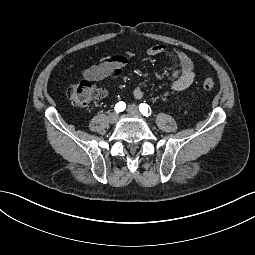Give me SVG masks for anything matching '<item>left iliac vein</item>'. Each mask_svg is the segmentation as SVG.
Masks as SVG:
<instances>
[{
	"instance_id": "obj_1",
	"label": "left iliac vein",
	"mask_w": 255,
	"mask_h": 255,
	"mask_svg": "<svg viewBox=\"0 0 255 255\" xmlns=\"http://www.w3.org/2000/svg\"><path fill=\"white\" fill-rule=\"evenodd\" d=\"M127 112L134 115H139V110L136 105L132 104L127 107Z\"/></svg>"
}]
</instances>
